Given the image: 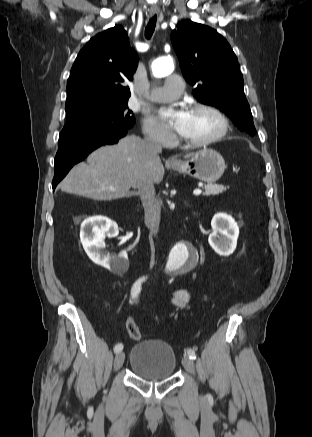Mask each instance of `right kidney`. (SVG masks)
<instances>
[{"label": "right kidney", "instance_id": "1", "mask_svg": "<svg viewBox=\"0 0 312 437\" xmlns=\"http://www.w3.org/2000/svg\"><path fill=\"white\" fill-rule=\"evenodd\" d=\"M118 233L117 224L104 216H95L84 220L80 229L81 243L88 257L95 264L113 272L127 270L129 267L126 252L113 257L101 252V249L105 247V236L115 237Z\"/></svg>", "mask_w": 312, "mask_h": 437}]
</instances>
